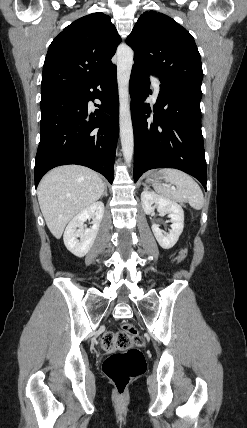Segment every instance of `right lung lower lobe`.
Instances as JSON below:
<instances>
[{
  "label": "right lung lower lobe",
  "instance_id": "obj_1",
  "mask_svg": "<svg viewBox=\"0 0 247 428\" xmlns=\"http://www.w3.org/2000/svg\"><path fill=\"white\" fill-rule=\"evenodd\" d=\"M94 98L102 104L89 114L88 101ZM40 107L35 186L47 171L65 164L87 166L112 184L119 134L116 66L81 89L43 95Z\"/></svg>",
  "mask_w": 247,
  "mask_h": 428
}]
</instances>
